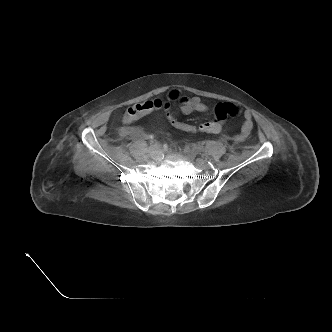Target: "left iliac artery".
Wrapping results in <instances>:
<instances>
[{
  "instance_id": "obj_1",
  "label": "left iliac artery",
  "mask_w": 332,
  "mask_h": 332,
  "mask_svg": "<svg viewBox=\"0 0 332 332\" xmlns=\"http://www.w3.org/2000/svg\"><path fill=\"white\" fill-rule=\"evenodd\" d=\"M194 150L196 153H202L204 151L202 146H195Z\"/></svg>"
}]
</instances>
